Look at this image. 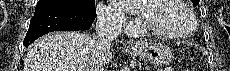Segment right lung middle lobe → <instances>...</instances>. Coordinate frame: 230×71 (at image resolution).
<instances>
[{"mask_svg":"<svg viewBox=\"0 0 230 71\" xmlns=\"http://www.w3.org/2000/svg\"><path fill=\"white\" fill-rule=\"evenodd\" d=\"M73 7L83 11H89L95 13V1L94 0H39L36 5V9L42 7Z\"/></svg>","mask_w":230,"mask_h":71,"instance_id":"1","label":"right lung middle lobe"}]
</instances>
